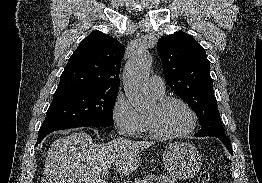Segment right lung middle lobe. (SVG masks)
<instances>
[{"instance_id": "dd1d6c3e", "label": "right lung middle lobe", "mask_w": 262, "mask_h": 183, "mask_svg": "<svg viewBox=\"0 0 262 183\" xmlns=\"http://www.w3.org/2000/svg\"><path fill=\"white\" fill-rule=\"evenodd\" d=\"M118 91L77 89L54 93L42 126L86 123L107 127L114 124L113 107Z\"/></svg>"}]
</instances>
